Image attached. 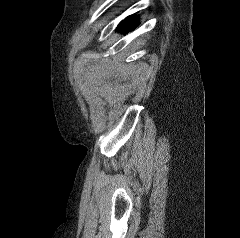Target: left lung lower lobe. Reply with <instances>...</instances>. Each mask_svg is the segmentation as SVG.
Here are the masks:
<instances>
[{"instance_id": "1", "label": "left lung lower lobe", "mask_w": 240, "mask_h": 238, "mask_svg": "<svg viewBox=\"0 0 240 238\" xmlns=\"http://www.w3.org/2000/svg\"><path fill=\"white\" fill-rule=\"evenodd\" d=\"M138 26V17L136 15H131L125 18L118 25L117 30L119 32L127 33L132 31L134 28Z\"/></svg>"}]
</instances>
